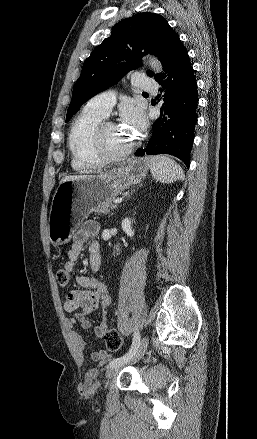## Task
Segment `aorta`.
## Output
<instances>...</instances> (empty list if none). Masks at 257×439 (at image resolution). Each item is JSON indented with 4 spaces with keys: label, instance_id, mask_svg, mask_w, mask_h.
<instances>
[{
    "label": "aorta",
    "instance_id": "obj_1",
    "mask_svg": "<svg viewBox=\"0 0 257 439\" xmlns=\"http://www.w3.org/2000/svg\"><path fill=\"white\" fill-rule=\"evenodd\" d=\"M149 63H150V65H151V67H152V69L155 71V72H161L162 71V66H161V64H160V62L156 59V58H150L149 59Z\"/></svg>",
    "mask_w": 257,
    "mask_h": 439
}]
</instances>
